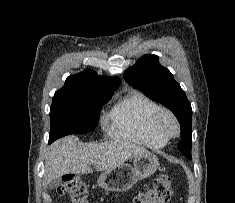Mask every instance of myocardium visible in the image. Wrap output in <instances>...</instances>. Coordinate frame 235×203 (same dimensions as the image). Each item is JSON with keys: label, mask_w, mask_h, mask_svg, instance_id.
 <instances>
[{"label": "myocardium", "mask_w": 235, "mask_h": 203, "mask_svg": "<svg viewBox=\"0 0 235 203\" xmlns=\"http://www.w3.org/2000/svg\"><path fill=\"white\" fill-rule=\"evenodd\" d=\"M165 120L172 123L173 127L171 129L164 127L163 123ZM150 129L154 134L169 140L180 134V123L172 111L165 108H160L151 119Z\"/></svg>", "instance_id": "1"}]
</instances>
